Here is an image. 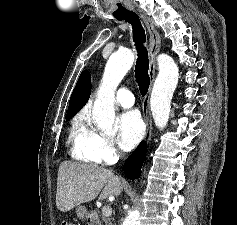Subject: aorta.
Masks as SVG:
<instances>
[{"label":"aorta","instance_id":"aorta-1","mask_svg":"<svg viewBox=\"0 0 237 225\" xmlns=\"http://www.w3.org/2000/svg\"><path fill=\"white\" fill-rule=\"evenodd\" d=\"M159 73L155 80L150 107L155 125L162 130L167 125L171 99L178 84L179 71L174 60L161 54L157 58ZM134 54L131 50H120L112 54L105 66L102 84L92 110V118L97 126L108 135L115 133L113 128L115 119L114 99L118 84L131 68ZM140 212L130 210L122 225H139Z\"/></svg>","mask_w":237,"mask_h":225}]
</instances>
